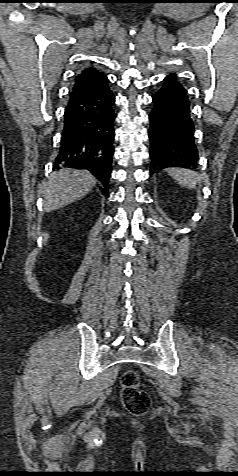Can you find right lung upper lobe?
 Masks as SVG:
<instances>
[{"mask_svg":"<svg viewBox=\"0 0 238 476\" xmlns=\"http://www.w3.org/2000/svg\"><path fill=\"white\" fill-rule=\"evenodd\" d=\"M103 77L104 75L93 67L82 70L81 73L75 77V83L70 92L69 102L80 98L84 93L91 90Z\"/></svg>","mask_w":238,"mask_h":476,"instance_id":"cb5924a9","label":"right lung upper lobe"}]
</instances>
